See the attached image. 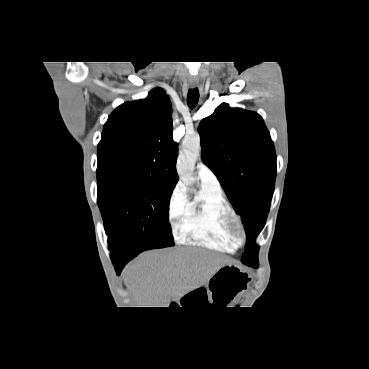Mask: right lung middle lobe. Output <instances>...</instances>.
Wrapping results in <instances>:
<instances>
[{
  "label": "right lung middle lobe",
  "instance_id": "right-lung-middle-lobe-1",
  "mask_svg": "<svg viewBox=\"0 0 369 369\" xmlns=\"http://www.w3.org/2000/svg\"><path fill=\"white\" fill-rule=\"evenodd\" d=\"M97 204L110 250L140 253L174 245L168 221L172 185L133 171L97 169Z\"/></svg>",
  "mask_w": 369,
  "mask_h": 369
}]
</instances>
